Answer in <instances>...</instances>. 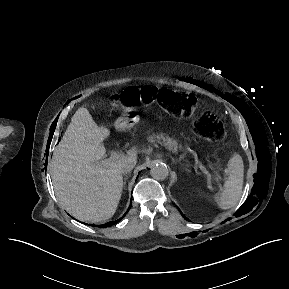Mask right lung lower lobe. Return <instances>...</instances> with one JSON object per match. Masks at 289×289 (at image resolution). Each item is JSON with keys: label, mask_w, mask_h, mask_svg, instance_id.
I'll return each mask as SVG.
<instances>
[{"label": "right lung lower lobe", "mask_w": 289, "mask_h": 289, "mask_svg": "<svg viewBox=\"0 0 289 289\" xmlns=\"http://www.w3.org/2000/svg\"><path fill=\"white\" fill-rule=\"evenodd\" d=\"M132 203V202H131ZM129 210V209H128ZM128 212V211H127ZM126 212V213H127ZM125 213V214H126ZM123 218V217H122ZM120 219H118L117 221H114V222H110L109 224H106V225H102L103 227H109V226H112V225H114V224H116L118 221H119Z\"/></svg>", "instance_id": "1"}]
</instances>
